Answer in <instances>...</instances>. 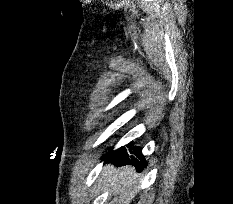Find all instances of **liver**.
Returning <instances> with one entry per match:
<instances>
[{"label": "liver", "mask_w": 233, "mask_h": 204, "mask_svg": "<svg viewBox=\"0 0 233 204\" xmlns=\"http://www.w3.org/2000/svg\"><path fill=\"white\" fill-rule=\"evenodd\" d=\"M102 179L111 192L122 197H131L137 190L138 174L133 166L115 168L108 165L104 168Z\"/></svg>", "instance_id": "6515ba94"}]
</instances>
